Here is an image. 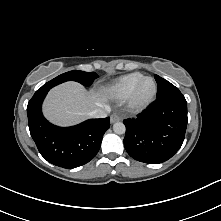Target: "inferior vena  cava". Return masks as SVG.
Here are the masks:
<instances>
[{
  "mask_svg": "<svg viewBox=\"0 0 221 221\" xmlns=\"http://www.w3.org/2000/svg\"><path fill=\"white\" fill-rule=\"evenodd\" d=\"M111 109L108 105H100L95 110L91 111L89 115L93 118H106Z\"/></svg>",
  "mask_w": 221,
  "mask_h": 221,
  "instance_id": "1",
  "label": "inferior vena cava"
}]
</instances>
